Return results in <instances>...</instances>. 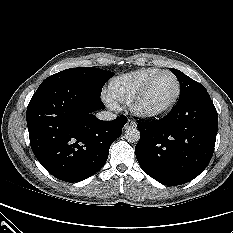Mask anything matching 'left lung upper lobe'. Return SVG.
<instances>
[{
  "instance_id": "1",
  "label": "left lung upper lobe",
  "mask_w": 233,
  "mask_h": 233,
  "mask_svg": "<svg viewBox=\"0 0 233 233\" xmlns=\"http://www.w3.org/2000/svg\"><path fill=\"white\" fill-rule=\"evenodd\" d=\"M170 71L175 74V76L178 78L180 82V99H184L188 97L189 95L197 92V91H203L206 90L205 87L182 73L181 71L170 68Z\"/></svg>"
}]
</instances>
